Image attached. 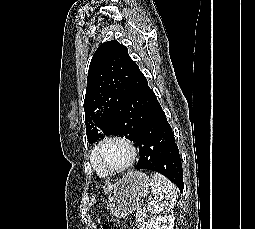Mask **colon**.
<instances>
[{
	"mask_svg": "<svg viewBox=\"0 0 255 229\" xmlns=\"http://www.w3.org/2000/svg\"><path fill=\"white\" fill-rule=\"evenodd\" d=\"M102 229H121L115 220H107L102 225Z\"/></svg>",
	"mask_w": 255,
	"mask_h": 229,
	"instance_id": "obj_1",
	"label": "colon"
}]
</instances>
